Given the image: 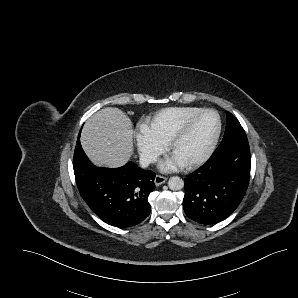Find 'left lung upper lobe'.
<instances>
[{
	"label": "left lung upper lobe",
	"mask_w": 298,
	"mask_h": 298,
	"mask_svg": "<svg viewBox=\"0 0 298 298\" xmlns=\"http://www.w3.org/2000/svg\"><path fill=\"white\" fill-rule=\"evenodd\" d=\"M239 134H245V131L239 121L231 113L228 112L226 130L222 141Z\"/></svg>",
	"instance_id": "obj_1"
}]
</instances>
